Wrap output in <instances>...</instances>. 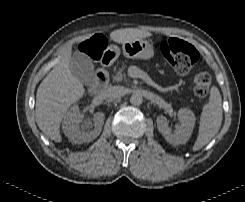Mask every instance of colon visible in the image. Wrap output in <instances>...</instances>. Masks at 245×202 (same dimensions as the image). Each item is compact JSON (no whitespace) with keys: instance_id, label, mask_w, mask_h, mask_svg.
Here are the masks:
<instances>
[{"instance_id":"colon-1","label":"colon","mask_w":245,"mask_h":202,"mask_svg":"<svg viewBox=\"0 0 245 202\" xmlns=\"http://www.w3.org/2000/svg\"><path fill=\"white\" fill-rule=\"evenodd\" d=\"M105 48V40L101 35L83 39L76 44L79 56L97 60ZM160 51L166 62L178 74L187 73L198 61V50L189 43L176 38L164 39L160 43ZM212 76L207 71L198 72L193 78L194 93L198 97L205 96L211 86Z\"/></svg>"}]
</instances>
